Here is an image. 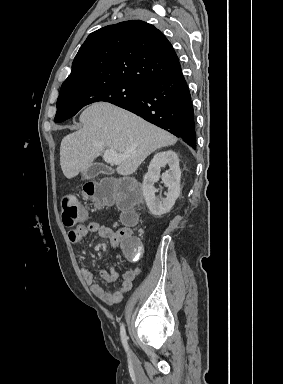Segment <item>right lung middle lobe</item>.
Returning a JSON list of instances; mask_svg holds the SVG:
<instances>
[{"instance_id": "dd1d6c3e", "label": "right lung middle lobe", "mask_w": 283, "mask_h": 384, "mask_svg": "<svg viewBox=\"0 0 283 384\" xmlns=\"http://www.w3.org/2000/svg\"><path fill=\"white\" fill-rule=\"evenodd\" d=\"M142 92V86L119 80L61 88L54 120L57 123L63 122L94 102L118 104L136 99Z\"/></svg>"}]
</instances>
